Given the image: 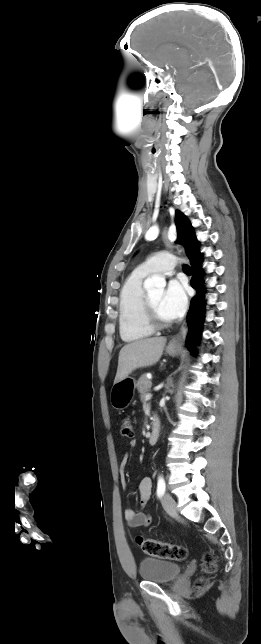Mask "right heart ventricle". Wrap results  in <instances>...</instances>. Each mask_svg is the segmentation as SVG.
<instances>
[{
  "label": "right heart ventricle",
  "mask_w": 261,
  "mask_h": 644,
  "mask_svg": "<svg viewBox=\"0 0 261 644\" xmlns=\"http://www.w3.org/2000/svg\"><path fill=\"white\" fill-rule=\"evenodd\" d=\"M148 274L136 269L125 280L119 298V333L125 342L140 341L153 333L144 317L143 281Z\"/></svg>",
  "instance_id": "right-heart-ventricle-1"
}]
</instances>
